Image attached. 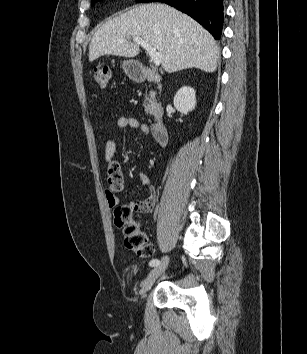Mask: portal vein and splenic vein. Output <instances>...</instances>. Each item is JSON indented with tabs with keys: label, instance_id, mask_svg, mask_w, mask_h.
Returning a JSON list of instances; mask_svg holds the SVG:
<instances>
[{
	"label": "portal vein and splenic vein",
	"instance_id": "portal-vein-and-splenic-vein-1",
	"mask_svg": "<svg viewBox=\"0 0 307 354\" xmlns=\"http://www.w3.org/2000/svg\"><path fill=\"white\" fill-rule=\"evenodd\" d=\"M133 41L143 47L150 56L151 61L155 66H159L162 60V55L156 51L155 48L150 46L147 42H145L142 38L134 37Z\"/></svg>",
	"mask_w": 307,
	"mask_h": 354
}]
</instances>
